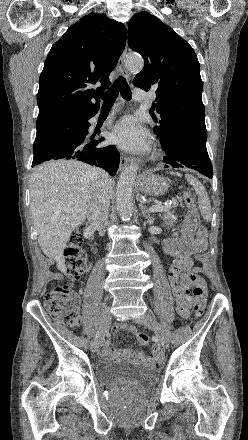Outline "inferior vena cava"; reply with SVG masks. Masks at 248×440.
<instances>
[{
  "mask_svg": "<svg viewBox=\"0 0 248 440\" xmlns=\"http://www.w3.org/2000/svg\"><path fill=\"white\" fill-rule=\"evenodd\" d=\"M95 187L88 209L89 227L93 230H102L108 218L111 199V178L102 169L93 171Z\"/></svg>",
  "mask_w": 248,
  "mask_h": 440,
  "instance_id": "602c4592",
  "label": "inferior vena cava"
}]
</instances>
